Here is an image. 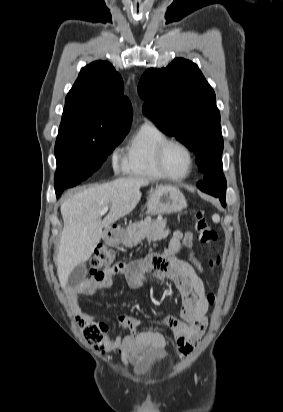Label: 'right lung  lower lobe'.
<instances>
[{
	"label": "right lung lower lobe",
	"instance_id": "right-lung-lower-lobe-1",
	"mask_svg": "<svg viewBox=\"0 0 283 412\" xmlns=\"http://www.w3.org/2000/svg\"><path fill=\"white\" fill-rule=\"evenodd\" d=\"M81 181L80 179H72V180H59L55 181V192L56 196L60 197L61 193L63 192L64 189L73 187L77 184H79Z\"/></svg>",
	"mask_w": 283,
	"mask_h": 412
}]
</instances>
